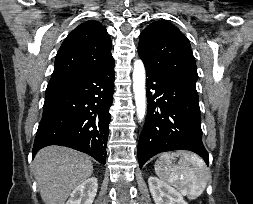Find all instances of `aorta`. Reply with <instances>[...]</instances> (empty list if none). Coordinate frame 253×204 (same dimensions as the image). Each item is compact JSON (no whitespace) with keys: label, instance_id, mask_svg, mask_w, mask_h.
<instances>
[{"label":"aorta","instance_id":"762f6f07","mask_svg":"<svg viewBox=\"0 0 253 204\" xmlns=\"http://www.w3.org/2000/svg\"><path fill=\"white\" fill-rule=\"evenodd\" d=\"M133 92L137 109V116L142 120L146 111L145 67L141 60L134 62Z\"/></svg>","mask_w":253,"mask_h":204}]
</instances>
